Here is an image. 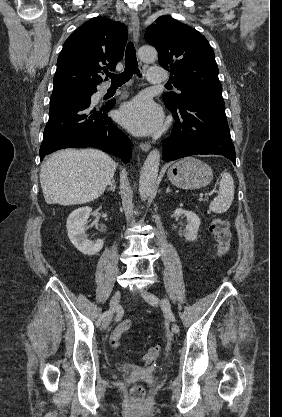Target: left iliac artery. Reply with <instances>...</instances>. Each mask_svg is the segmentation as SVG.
Wrapping results in <instances>:
<instances>
[{"label": "left iliac artery", "instance_id": "1", "mask_svg": "<svg viewBox=\"0 0 282 417\" xmlns=\"http://www.w3.org/2000/svg\"><path fill=\"white\" fill-rule=\"evenodd\" d=\"M162 310L164 311V313L166 314V316L171 320V321H175V317L171 312V308H170V303L167 299H162V304H161Z\"/></svg>", "mask_w": 282, "mask_h": 417}]
</instances>
